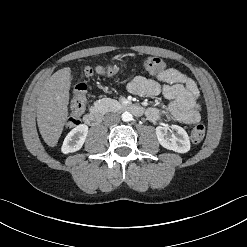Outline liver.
Instances as JSON below:
<instances>
[{
    "label": "liver",
    "instance_id": "6515ba94",
    "mask_svg": "<svg viewBox=\"0 0 247 247\" xmlns=\"http://www.w3.org/2000/svg\"><path fill=\"white\" fill-rule=\"evenodd\" d=\"M71 69L63 68L48 78L39 93L37 124L45 143L54 147L68 116Z\"/></svg>",
    "mask_w": 247,
    "mask_h": 247
}]
</instances>
